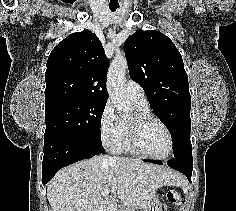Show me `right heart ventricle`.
<instances>
[{"instance_id":"1","label":"right heart ventricle","mask_w":236,"mask_h":211,"mask_svg":"<svg viewBox=\"0 0 236 211\" xmlns=\"http://www.w3.org/2000/svg\"><path fill=\"white\" fill-rule=\"evenodd\" d=\"M133 104L136 107V110H142L151 113L146 104H137L135 102H133ZM121 122H122V134L118 142L116 143L114 149L119 152H132V150L126 144L125 140V120L123 119L121 120Z\"/></svg>"}]
</instances>
